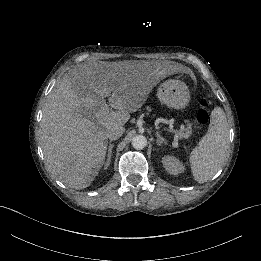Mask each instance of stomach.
<instances>
[{"instance_id":"0dacf381","label":"stomach","mask_w":261,"mask_h":261,"mask_svg":"<svg viewBox=\"0 0 261 261\" xmlns=\"http://www.w3.org/2000/svg\"><path fill=\"white\" fill-rule=\"evenodd\" d=\"M160 102L171 109L184 112L191 102L188 85L181 80H167L158 89Z\"/></svg>"}]
</instances>
